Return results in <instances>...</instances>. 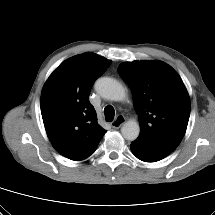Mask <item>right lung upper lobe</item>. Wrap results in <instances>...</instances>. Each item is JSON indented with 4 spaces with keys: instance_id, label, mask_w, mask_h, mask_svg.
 Masks as SVG:
<instances>
[{
    "instance_id": "right-lung-upper-lobe-1",
    "label": "right lung upper lobe",
    "mask_w": 215,
    "mask_h": 215,
    "mask_svg": "<svg viewBox=\"0 0 215 215\" xmlns=\"http://www.w3.org/2000/svg\"><path fill=\"white\" fill-rule=\"evenodd\" d=\"M110 64L94 53L73 56L59 65L43 87L41 114L47 135L57 152L71 160L89 157L106 133L97 123L89 94Z\"/></svg>"
}]
</instances>
